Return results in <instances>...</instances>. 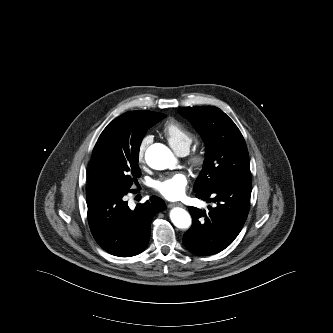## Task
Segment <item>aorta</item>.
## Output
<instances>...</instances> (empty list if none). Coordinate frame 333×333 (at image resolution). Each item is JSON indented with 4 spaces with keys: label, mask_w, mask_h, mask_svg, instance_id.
I'll return each mask as SVG.
<instances>
[{
    "label": "aorta",
    "mask_w": 333,
    "mask_h": 333,
    "mask_svg": "<svg viewBox=\"0 0 333 333\" xmlns=\"http://www.w3.org/2000/svg\"><path fill=\"white\" fill-rule=\"evenodd\" d=\"M145 160L151 168L156 170L170 168L175 163V158L171 150L159 143L153 144L147 149ZM170 219L172 223L180 229H187L192 223L190 214L180 207L173 208L170 211Z\"/></svg>",
    "instance_id": "obj_1"
}]
</instances>
